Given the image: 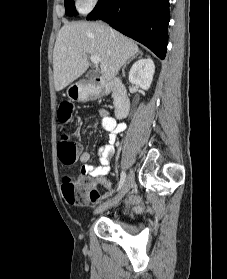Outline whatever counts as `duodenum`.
Segmentation results:
<instances>
[{
  "mask_svg": "<svg viewBox=\"0 0 227 279\" xmlns=\"http://www.w3.org/2000/svg\"><path fill=\"white\" fill-rule=\"evenodd\" d=\"M110 92L114 95L116 114L120 118L128 115L130 110V99L127 89L121 82L110 81L106 82L102 78H94L90 89L82 93V103L96 100L104 97Z\"/></svg>",
  "mask_w": 227,
  "mask_h": 279,
  "instance_id": "obj_1",
  "label": "duodenum"
}]
</instances>
